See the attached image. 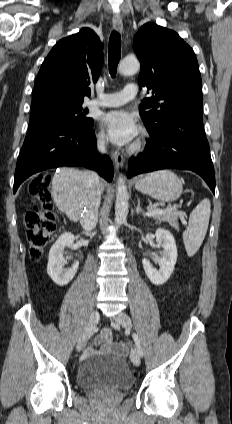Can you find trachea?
I'll return each mask as SVG.
<instances>
[{"label": "trachea", "instance_id": "3493384b", "mask_svg": "<svg viewBox=\"0 0 232 424\" xmlns=\"http://www.w3.org/2000/svg\"><path fill=\"white\" fill-rule=\"evenodd\" d=\"M109 72L112 77H115L117 65L121 56V37L117 31L111 33L109 39Z\"/></svg>", "mask_w": 232, "mask_h": 424}]
</instances>
